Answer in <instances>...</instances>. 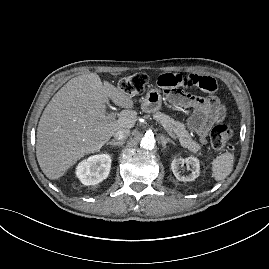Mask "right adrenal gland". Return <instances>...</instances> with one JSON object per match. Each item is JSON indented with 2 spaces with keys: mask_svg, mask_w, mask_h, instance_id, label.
I'll list each match as a JSON object with an SVG mask.
<instances>
[{
  "mask_svg": "<svg viewBox=\"0 0 269 269\" xmlns=\"http://www.w3.org/2000/svg\"><path fill=\"white\" fill-rule=\"evenodd\" d=\"M124 144V141H110V142H107L106 145H112V146H122Z\"/></svg>",
  "mask_w": 269,
  "mask_h": 269,
  "instance_id": "right-adrenal-gland-1",
  "label": "right adrenal gland"
}]
</instances>
